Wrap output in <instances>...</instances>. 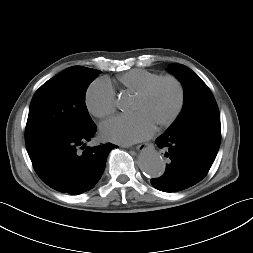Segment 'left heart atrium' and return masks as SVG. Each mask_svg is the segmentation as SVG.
<instances>
[{"mask_svg":"<svg viewBox=\"0 0 253 253\" xmlns=\"http://www.w3.org/2000/svg\"><path fill=\"white\" fill-rule=\"evenodd\" d=\"M154 130L155 123L143 112L117 116L100 126L101 134L106 139L125 145L150 137Z\"/></svg>","mask_w":253,"mask_h":253,"instance_id":"39dd6f15","label":"left heart atrium"}]
</instances>
